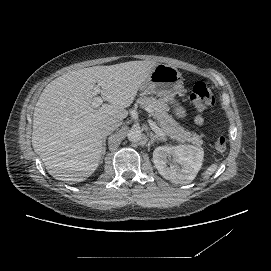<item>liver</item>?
<instances>
[{
    "label": "liver",
    "instance_id": "liver-1",
    "mask_svg": "<svg viewBox=\"0 0 271 271\" xmlns=\"http://www.w3.org/2000/svg\"><path fill=\"white\" fill-rule=\"evenodd\" d=\"M156 65L129 61L73 70L44 88L34 109L32 146L51 176L80 182L97 169L102 125L128 116L126 108ZM96 83L108 104L92 105Z\"/></svg>",
    "mask_w": 271,
    "mask_h": 271
}]
</instances>
